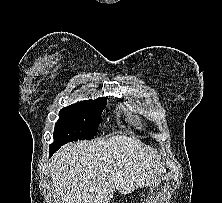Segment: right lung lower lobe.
<instances>
[{"mask_svg": "<svg viewBox=\"0 0 222 203\" xmlns=\"http://www.w3.org/2000/svg\"><path fill=\"white\" fill-rule=\"evenodd\" d=\"M60 147L59 146H53L50 145V149H49V155L51 156L54 152H56Z\"/></svg>", "mask_w": 222, "mask_h": 203, "instance_id": "1", "label": "right lung lower lobe"}]
</instances>
